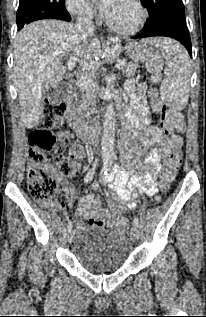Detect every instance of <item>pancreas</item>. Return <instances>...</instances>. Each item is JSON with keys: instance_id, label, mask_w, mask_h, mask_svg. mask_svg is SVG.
I'll use <instances>...</instances> for the list:
<instances>
[{"instance_id": "pancreas-1", "label": "pancreas", "mask_w": 206, "mask_h": 317, "mask_svg": "<svg viewBox=\"0 0 206 317\" xmlns=\"http://www.w3.org/2000/svg\"><path fill=\"white\" fill-rule=\"evenodd\" d=\"M138 68H139V65L135 64L134 61H125L123 63V67L121 68V70L124 75L133 76L138 71ZM91 100L92 102H94L93 97ZM85 103H86V100L84 99L82 105L80 106L81 110L85 109Z\"/></svg>"}]
</instances>
